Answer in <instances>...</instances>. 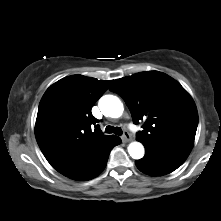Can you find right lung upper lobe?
<instances>
[{
    "label": "right lung upper lobe",
    "instance_id": "obj_1",
    "mask_svg": "<svg viewBox=\"0 0 221 221\" xmlns=\"http://www.w3.org/2000/svg\"><path fill=\"white\" fill-rule=\"evenodd\" d=\"M111 83L112 80L72 75L57 81L44 93L35 135L41 151L56 170L88 158L115 137L101 133L98 120L91 113L94 103Z\"/></svg>",
    "mask_w": 221,
    "mask_h": 221
}]
</instances>
